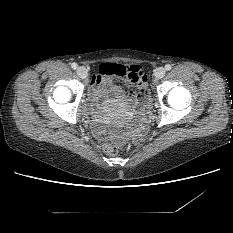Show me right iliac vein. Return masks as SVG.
<instances>
[{
    "mask_svg": "<svg viewBox=\"0 0 233 233\" xmlns=\"http://www.w3.org/2000/svg\"><path fill=\"white\" fill-rule=\"evenodd\" d=\"M76 73L82 79H85L87 77V70L83 66L78 67Z\"/></svg>",
    "mask_w": 233,
    "mask_h": 233,
    "instance_id": "1",
    "label": "right iliac vein"
}]
</instances>
